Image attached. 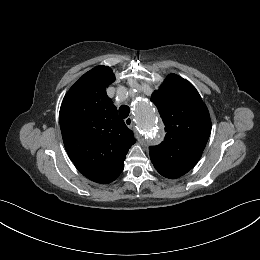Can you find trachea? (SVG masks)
<instances>
[{"mask_svg":"<svg viewBox=\"0 0 260 260\" xmlns=\"http://www.w3.org/2000/svg\"><path fill=\"white\" fill-rule=\"evenodd\" d=\"M130 113V108L127 105H121L119 108V115L122 118H127Z\"/></svg>","mask_w":260,"mask_h":260,"instance_id":"obj_1","label":"trachea"}]
</instances>
